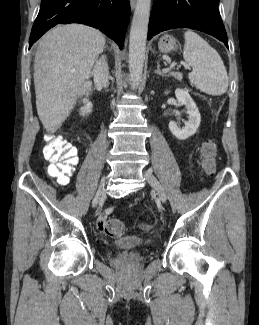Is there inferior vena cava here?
Returning <instances> with one entry per match:
<instances>
[{"mask_svg": "<svg viewBox=\"0 0 259 325\" xmlns=\"http://www.w3.org/2000/svg\"><path fill=\"white\" fill-rule=\"evenodd\" d=\"M92 74L96 83L101 84L105 88L108 87L109 69L104 56L96 60Z\"/></svg>", "mask_w": 259, "mask_h": 325, "instance_id": "obj_1", "label": "inferior vena cava"}]
</instances>
